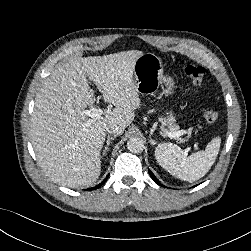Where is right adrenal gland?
Here are the masks:
<instances>
[{"label": "right adrenal gland", "instance_id": "2a0ac1e0", "mask_svg": "<svg viewBox=\"0 0 251 251\" xmlns=\"http://www.w3.org/2000/svg\"><path fill=\"white\" fill-rule=\"evenodd\" d=\"M116 138V135H114V136H112V137H108V139H107V142H106V146H105V148H104V150H103V156H105L106 154H107V152H108V150H109V145H110V142L112 141V140H114Z\"/></svg>", "mask_w": 251, "mask_h": 251}]
</instances>
